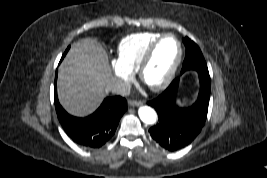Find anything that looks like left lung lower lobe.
<instances>
[{"instance_id":"1","label":"left lung lower lobe","mask_w":267,"mask_h":178,"mask_svg":"<svg viewBox=\"0 0 267 178\" xmlns=\"http://www.w3.org/2000/svg\"><path fill=\"white\" fill-rule=\"evenodd\" d=\"M185 71H181L184 73ZM200 89L197 100L188 107L176 104L179 78L156 99L148 101L158 114L157 123L149 130L151 137L168 151L179 150L190 144L205 124L211 92L209 72L197 71Z\"/></svg>"}]
</instances>
